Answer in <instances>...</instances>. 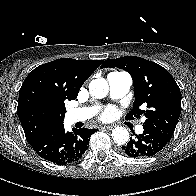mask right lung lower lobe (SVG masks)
<instances>
[{
	"label": "right lung lower lobe",
	"instance_id": "98d812e1",
	"mask_svg": "<svg viewBox=\"0 0 196 196\" xmlns=\"http://www.w3.org/2000/svg\"><path fill=\"white\" fill-rule=\"evenodd\" d=\"M95 129L81 128L65 132L64 125L46 133L30 145L36 153L57 165L78 161L88 148L89 138Z\"/></svg>",
	"mask_w": 196,
	"mask_h": 196
}]
</instances>
